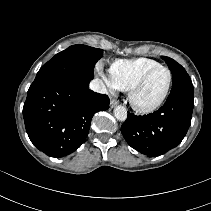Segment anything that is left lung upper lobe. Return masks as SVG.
I'll return each mask as SVG.
<instances>
[{
    "label": "left lung upper lobe",
    "instance_id": "1",
    "mask_svg": "<svg viewBox=\"0 0 211 211\" xmlns=\"http://www.w3.org/2000/svg\"><path fill=\"white\" fill-rule=\"evenodd\" d=\"M162 59L167 63L172 73V89L171 93L174 92H187L194 93L192 81L185 71V69L172 58L162 56Z\"/></svg>",
    "mask_w": 211,
    "mask_h": 211
}]
</instances>
